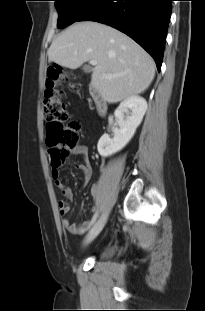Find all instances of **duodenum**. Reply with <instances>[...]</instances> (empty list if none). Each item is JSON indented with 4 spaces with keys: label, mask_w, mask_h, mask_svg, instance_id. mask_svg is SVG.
Segmentation results:
<instances>
[{
    "label": "duodenum",
    "mask_w": 205,
    "mask_h": 311,
    "mask_svg": "<svg viewBox=\"0 0 205 311\" xmlns=\"http://www.w3.org/2000/svg\"><path fill=\"white\" fill-rule=\"evenodd\" d=\"M90 96L95 105L97 114L100 116L105 115L108 111V103L104 99L100 90L97 87L92 86L90 89Z\"/></svg>",
    "instance_id": "410a0bca"
}]
</instances>
